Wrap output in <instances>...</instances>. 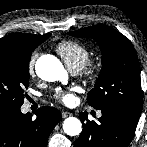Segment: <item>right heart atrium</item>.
I'll return each mask as SVG.
<instances>
[{
    "mask_svg": "<svg viewBox=\"0 0 147 147\" xmlns=\"http://www.w3.org/2000/svg\"><path fill=\"white\" fill-rule=\"evenodd\" d=\"M37 57H38V54L35 52L31 55V58L29 60V66L28 67H29V72L31 74L34 73V67H35V62H36Z\"/></svg>",
    "mask_w": 147,
    "mask_h": 147,
    "instance_id": "right-heart-atrium-1",
    "label": "right heart atrium"
}]
</instances>
